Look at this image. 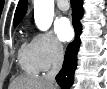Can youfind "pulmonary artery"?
I'll list each match as a JSON object with an SVG mask.
<instances>
[{"instance_id":"e3ab8cb5","label":"pulmonary artery","mask_w":107,"mask_h":89,"mask_svg":"<svg viewBox=\"0 0 107 89\" xmlns=\"http://www.w3.org/2000/svg\"><path fill=\"white\" fill-rule=\"evenodd\" d=\"M57 6L60 10L66 11L69 8L67 0H57Z\"/></svg>"}]
</instances>
